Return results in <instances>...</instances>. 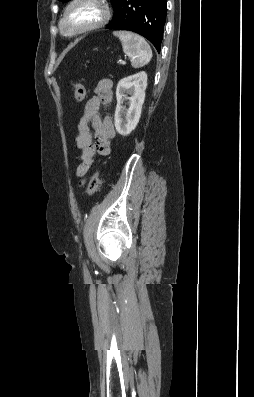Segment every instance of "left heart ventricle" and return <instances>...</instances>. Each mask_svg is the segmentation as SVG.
<instances>
[{
    "label": "left heart ventricle",
    "instance_id": "obj_1",
    "mask_svg": "<svg viewBox=\"0 0 254 397\" xmlns=\"http://www.w3.org/2000/svg\"><path fill=\"white\" fill-rule=\"evenodd\" d=\"M100 16V9L93 4H80L73 8L65 21L64 27L67 31L94 22Z\"/></svg>",
    "mask_w": 254,
    "mask_h": 397
}]
</instances>
